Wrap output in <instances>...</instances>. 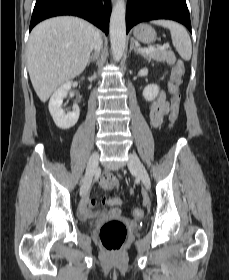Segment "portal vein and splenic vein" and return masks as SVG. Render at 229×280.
Segmentation results:
<instances>
[{"mask_svg":"<svg viewBox=\"0 0 229 280\" xmlns=\"http://www.w3.org/2000/svg\"><path fill=\"white\" fill-rule=\"evenodd\" d=\"M167 48H169L168 43H166L162 46H158V47H149V48L139 49V52L140 53H151V52H154V51H157V50H165Z\"/></svg>","mask_w":229,"mask_h":280,"instance_id":"18ae733b","label":"portal vein and splenic vein"}]
</instances>
